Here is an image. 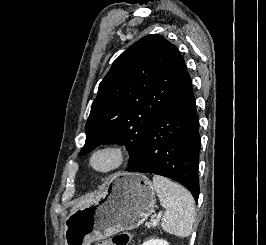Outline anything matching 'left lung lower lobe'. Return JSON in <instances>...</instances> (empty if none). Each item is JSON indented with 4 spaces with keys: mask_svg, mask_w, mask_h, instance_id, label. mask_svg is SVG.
<instances>
[{
    "mask_svg": "<svg viewBox=\"0 0 266 245\" xmlns=\"http://www.w3.org/2000/svg\"><path fill=\"white\" fill-rule=\"evenodd\" d=\"M199 117L190 75L177 89L148 128L142 151L125 171L153 173L173 179L199 197Z\"/></svg>",
    "mask_w": 266,
    "mask_h": 245,
    "instance_id": "1",
    "label": "left lung lower lobe"
}]
</instances>
